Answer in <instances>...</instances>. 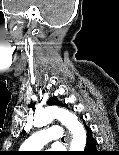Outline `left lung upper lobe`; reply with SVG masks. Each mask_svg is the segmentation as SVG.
<instances>
[{"label": "left lung upper lobe", "mask_w": 119, "mask_h": 155, "mask_svg": "<svg viewBox=\"0 0 119 155\" xmlns=\"http://www.w3.org/2000/svg\"><path fill=\"white\" fill-rule=\"evenodd\" d=\"M49 105H62L61 103H59L57 101V99H55L54 97L50 98L47 102Z\"/></svg>", "instance_id": "left-lung-upper-lobe-1"}]
</instances>
